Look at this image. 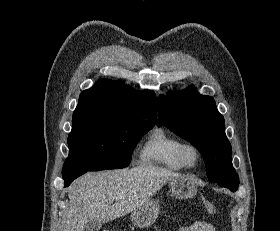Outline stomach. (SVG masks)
<instances>
[{"label": "stomach", "mask_w": 280, "mask_h": 231, "mask_svg": "<svg viewBox=\"0 0 280 231\" xmlns=\"http://www.w3.org/2000/svg\"><path fill=\"white\" fill-rule=\"evenodd\" d=\"M171 193L179 197V199H189L196 195L198 189V179L193 175H178L171 177L168 181ZM160 205L158 201H145L144 205L133 209L131 213V221L137 227H149L158 217Z\"/></svg>", "instance_id": "0dacf381"}]
</instances>
